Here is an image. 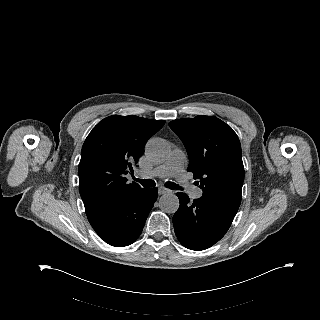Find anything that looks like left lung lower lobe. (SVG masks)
Wrapping results in <instances>:
<instances>
[{"label":"left lung lower lobe","mask_w":320,"mask_h":320,"mask_svg":"<svg viewBox=\"0 0 320 320\" xmlns=\"http://www.w3.org/2000/svg\"><path fill=\"white\" fill-rule=\"evenodd\" d=\"M179 209L173 216L175 234L191 250H204L218 242L228 231L236 211L206 197L190 201L178 192Z\"/></svg>","instance_id":"left-lung-lower-lobe-1"}]
</instances>
